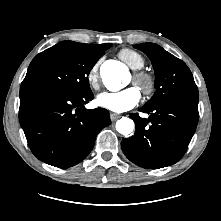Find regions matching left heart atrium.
I'll return each instance as SVG.
<instances>
[{"instance_id":"1","label":"left heart atrium","mask_w":221,"mask_h":221,"mask_svg":"<svg viewBox=\"0 0 221 221\" xmlns=\"http://www.w3.org/2000/svg\"><path fill=\"white\" fill-rule=\"evenodd\" d=\"M141 99L140 91L134 87L115 92H103L97 97V104L112 112H124L135 107Z\"/></svg>"}]
</instances>
